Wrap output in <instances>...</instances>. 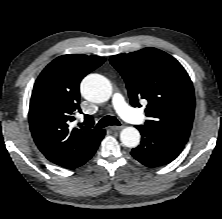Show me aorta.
I'll use <instances>...</instances> for the list:
<instances>
[{"label":"aorta","mask_w":222,"mask_h":219,"mask_svg":"<svg viewBox=\"0 0 222 219\" xmlns=\"http://www.w3.org/2000/svg\"><path fill=\"white\" fill-rule=\"evenodd\" d=\"M80 89L82 96L94 103L106 102L112 94L110 81L99 74L86 76L81 83ZM120 140L126 147H137L140 142V133L134 127H126L120 133Z\"/></svg>","instance_id":"aorta-1"}]
</instances>
